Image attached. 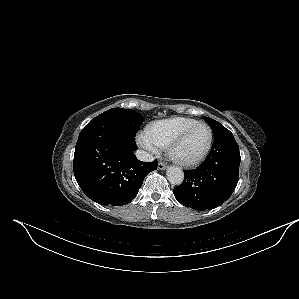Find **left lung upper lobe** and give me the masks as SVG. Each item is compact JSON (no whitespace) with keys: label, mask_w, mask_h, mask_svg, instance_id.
<instances>
[{"label":"left lung upper lobe","mask_w":299,"mask_h":299,"mask_svg":"<svg viewBox=\"0 0 299 299\" xmlns=\"http://www.w3.org/2000/svg\"><path fill=\"white\" fill-rule=\"evenodd\" d=\"M204 119L207 121L209 126L212 128L213 135H215V134H217V133H219V132L226 129L222 124H220L216 120H213L209 117H204Z\"/></svg>","instance_id":"5c2ea615"}]
</instances>
